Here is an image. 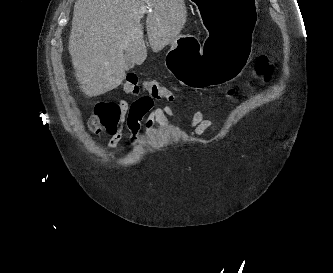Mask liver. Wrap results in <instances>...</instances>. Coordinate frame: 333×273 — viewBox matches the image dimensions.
<instances>
[{
	"instance_id": "6515ba94",
	"label": "liver",
	"mask_w": 333,
	"mask_h": 273,
	"mask_svg": "<svg viewBox=\"0 0 333 273\" xmlns=\"http://www.w3.org/2000/svg\"><path fill=\"white\" fill-rule=\"evenodd\" d=\"M148 6L146 29L153 52L161 51L183 29L184 0H77L69 53L82 92L98 96L117 88L126 74L127 54L141 65L147 57L139 13ZM125 52V54H124Z\"/></svg>"
}]
</instances>
